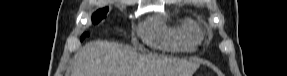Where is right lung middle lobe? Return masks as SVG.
<instances>
[{"mask_svg":"<svg viewBox=\"0 0 287 76\" xmlns=\"http://www.w3.org/2000/svg\"><path fill=\"white\" fill-rule=\"evenodd\" d=\"M108 10H109L108 7L97 10L92 16L93 24H98L102 19H104L106 17V13L108 12ZM87 36H89L88 33H83L81 36V40H83Z\"/></svg>","mask_w":287,"mask_h":76,"instance_id":"1","label":"right lung middle lobe"}]
</instances>
